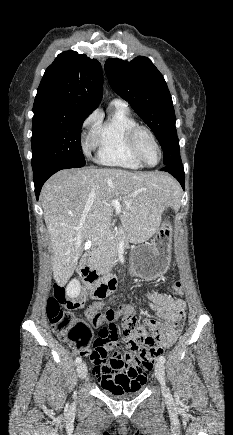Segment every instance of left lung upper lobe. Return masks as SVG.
<instances>
[{"label":"left lung upper lobe","mask_w":233,"mask_h":435,"mask_svg":"<svg viewBox=\"0 0 233 435\" xmlns=\"http://www.w3.org/2000/svg\"><path fill=\"white\" fill-rule=\"evenodd\" d=\"M105 72L114 91L156 135L164 151L163 163L168 166L181 161L172 98L152 61L144 56L130 62L111 58L105 62Z\"/></svg>","instance_id":"1"}]
</instances>
